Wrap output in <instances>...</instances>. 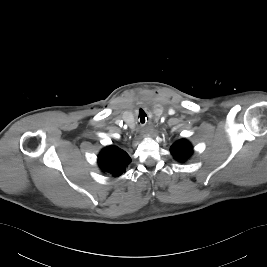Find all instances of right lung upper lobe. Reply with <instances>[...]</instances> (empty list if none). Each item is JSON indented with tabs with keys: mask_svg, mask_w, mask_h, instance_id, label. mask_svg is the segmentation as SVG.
I'll list each match as a JSON object with an SVG mask.
<instances>
[{
	"mask_svg": "<svg viewBox=\"0 0 267 267\" xmlns=\"http://www.w3.org/2000/svg\"><path fill=\"white\" fill-rule=\"evenodd\" d=\"M130 162L131 158L129 155L113 145L105 147L98 156L100 169L111 177H119L125 173Z\"/></svg>",
	"mask_w": 267,
	"mask_h": 267,
	"instance_id": "obj_1",
	"label": "right lung upper lobe"
}]
</instances>
